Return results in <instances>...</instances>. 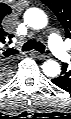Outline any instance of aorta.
<instances>
[{
  "label": "aorta",
  "mask_w": 71,
  "mask_h": 119,
  "mask_svg": "<svg viewBox=\"0 0 71 119\" xmlns=\"http://www.w3.org/2000/svg\"><path fill=\"white\" fill-rule=\"evenodd\" d=\"M25 22L34 29H42L47 23L46 14L38 8L28 9L24 15ZM43 72L46 76L56 77L60 74V65L55 60L49 59L42 65Z\"/></svg>",
  "instance_id": "obj_1"
}]
</instances>
